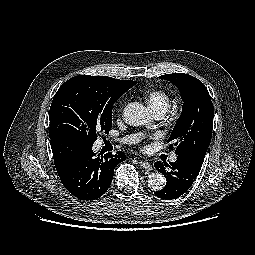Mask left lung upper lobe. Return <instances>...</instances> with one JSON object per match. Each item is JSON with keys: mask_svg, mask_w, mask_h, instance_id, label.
Instances as JSON below:
<instances>
[{"mask_svg": "<svg viewBox=\"0 0 255 255\" xmlns=\"http://www.w3.org/2000/svg\"><path fill=\"white\" fill-rule=\"evenodd\" d=\"M176 85L183 100L182 113L168 142L177 155L204 160L212 137L214 107L208 90L197 78L183 73L160 76Z\"/></svg>", "mask_w": 255, "mask_h": 255, "instance_id": "1", "label": "left lung upper lobe"}]
</instances>
